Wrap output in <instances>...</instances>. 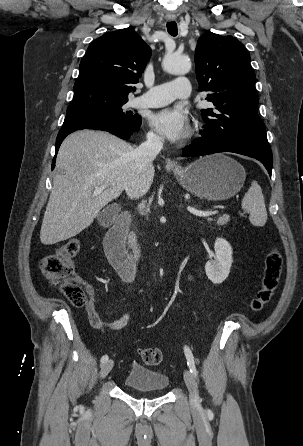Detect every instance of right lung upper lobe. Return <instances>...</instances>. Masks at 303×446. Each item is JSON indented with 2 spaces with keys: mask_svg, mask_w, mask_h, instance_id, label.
<instances>
[{
  "mask_svg": "<svg viewBox=\"0 0 303 446\" xmlns=\"http://www.w3.org/2000/svg\"><path fill=\"white\" fill-rule=\"evenodd\" d=\"M151 49L128 28L108 32L94 40L80 63L74 98L67 110L127 102L149 58Z\"/></svg>",
  "mask_w": 303,
  "mask_h": 446,
  "instance_id": "right-lung-upper-lobe-1",
  "label": "right lung upper lobe"
}]
</instances>
